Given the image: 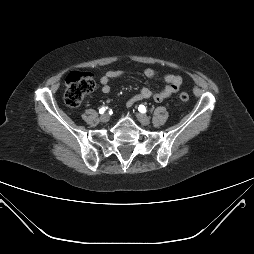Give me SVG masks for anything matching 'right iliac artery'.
<instances>
[{
	"instance_id": "82829eb1",
	"label": "right iliac artery",
	"mask_w": 254,
	"mask_h": 254,
	"mask_svg": "<svg viewBox=\"0 0 254 254\" xmlns=\"http://www.w3.org/2000/svg\"><path fill=\"white\" fill-rule=\"evenodd\" d=\"M107 107H102L100 110H99V113L100 114H103L105 111H106Z\"/></svg>"
}]
</instances>
